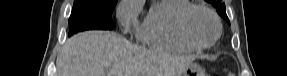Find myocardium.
I'll return each instance as SVG.
<instances>
[{
	"mask_svg": "<svg viewBox=\"0 0 287 76\" xmlns=\"http://www.w3.org/2000/svg\"><path fill=\"white\" fill-rule=\"evenodd\" d=\"M196 10L206 12L214 21L217 31L213 39L208 43H200L196 41L190 34L188 29V20L191 14ZM178 31L183 40L195 49H207L213 46L222 34V24L217 14L207 6L201 4H190L181 11L177 20Z\"/></svg>",
	"mask_w": 287,
	"mask_h": 76,
	"instance_id": "obj_1",
	"label": "myocardium"
}]
</instances>
